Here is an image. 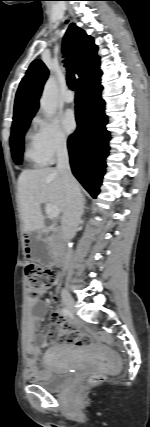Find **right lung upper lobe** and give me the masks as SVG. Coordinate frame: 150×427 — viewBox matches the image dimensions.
<instances>
[{
	"label": "right lung upper lobe",
	"mask_w": 150,
	"mask_h": 427,
	"mask_svg": "<svg viewBox=\"0 0 150 427\" xmlns=\"http://www.w3.org/2000/svg\"><path fill=\"white\" fill-rule=\"evenodd\" d=\"M63 49L75 73L77 84L82 85L93 79L101 70L98 47L91 36L72 23L63 40ZM48 77V69L39 59L34 60L20 82L16 93L13 123L33 117L39 107V98Z\"/></svg>",
	"instance_id": "1"
}]
</instances>
